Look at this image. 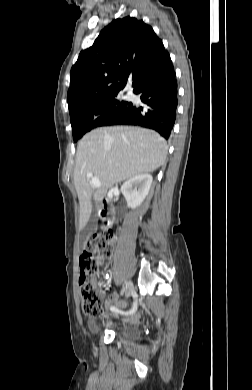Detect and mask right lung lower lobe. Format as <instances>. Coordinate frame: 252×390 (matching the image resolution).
Segmentation results:
<instances>
[{"label": "right lung lower lobe", "instance_id": "98d812e1", "mask_svg": "<svg viewBox=\"0 0 252 390\" xmlns=\"http://www.w3.org/2000/svg\"><path fill=\"white\" fill-rule=\"evenodd\" d=\"M134 93L141 94V101L147 108L131 105L107 125H139L154 129L168 139L175 124L178 106L175 72L147 81Z\"/></svg>", "mask_w": 252, "mask_h": 390}]
</instances>
